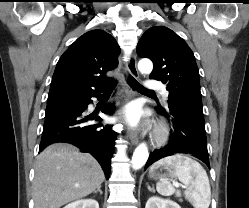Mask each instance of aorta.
<instances>
[{
    "instance_id": "aorta-1",
    "label": "aorta",
    "mask_w": 249,
    "mask_h": 208,
    "mask_svg": "<svg viewBox=\"0 0 249 208\" xmlns=\"http://www.w3.org/2000/svg\"><path fill=\"white\" fill-rule=\"evenodd\" d=\"M138 69L141 73L149 74L153 69V64L149 59H142L138 63ZM149 157L148 148L146 144H140L134 151L132 156L133 169H140Z\"/></svg>"
}]
</instances>
